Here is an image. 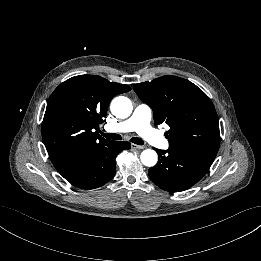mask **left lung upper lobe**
Instances as JSON below:
<instances>
[{
	"instance_id": "5c2ea615",
	"label": "left lung upper lobe",
	"mask_w": 261,
	"mask_h": 261,
	"mask_svg": "<svg viewBox=\"0 0 261 261\" xmlns=\"http://www.w3.org/2000/svg\"><path fill=\"white\" fill-rule=\"evenodd\" d=\"M152 107L156 125L166 123L169 149L215 158L220 145L219 120L208 96L195 84L176 76H162L133 86Z\"/></svg>"
}]
</instances>
